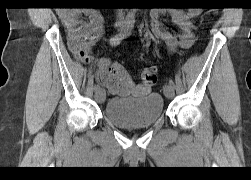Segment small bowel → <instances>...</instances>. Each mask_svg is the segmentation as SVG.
Masks as SVG:
<instances>
[{
    "label": "small bowel",
    "instance_id": "1",
    "mask_svg": "<svg viewBox=\"0 0 251 180\" xmlns=\"http://www.w3.org/2000/svg\"><path fill=\"white\" fill-rule=\"evenodd\" d=\"M198 13L195 9L154 10L151 13L152 32L169 51L176 48L188 49L194 41V17ZM165 15L171 16L173 23L179 27V34L174 35L163 27L162 18ZM104 22L103 15L94 9L73 10L62 14L68 47L75 58L84 63L91 61V49L104 33ZM96 79L118 96H144L150 92V88L135 84L122 65L112 64L107 58L98 60Z\"/></svg>",
    "mask_w": 251,
    "mask_h": 180
}]
</instances>
